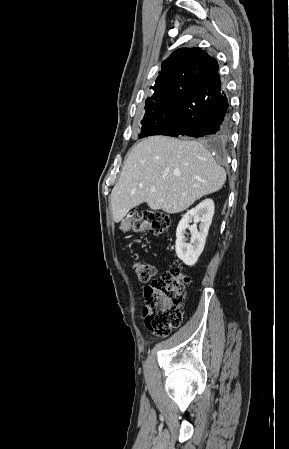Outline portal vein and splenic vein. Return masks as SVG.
<instances>
[{"label": "portal vein and splenic vein", "mask_w": 289, "mask_h": 449, "mask_svg": "<svg viewBox=\"0 0 289 449\" xmlns=\"http://www.w3.org/2000/svg\"><path fill=\"white\" fill-rule=\"evenodd\" d=\"M155 190H156V188L154 186L150 188L151 192H154Z\"/></svg>", "instance_id": "18ae733b"}]
</instances>
